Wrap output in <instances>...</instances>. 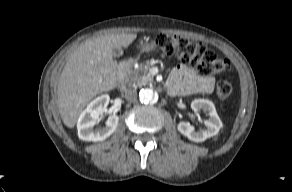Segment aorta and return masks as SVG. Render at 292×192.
Wrapping results in <instances>:
<instances>
[{
    "label": "aorta",
    "instance_id": "762f6f07",
    "mask_svg": "<svg viewBox=\"0 0 292 192\" xmlns=\"http://www.w3.org/2000/svg\"><path fill=\"white\" fill-rule=\"evenodd\" d=\"M139 98L145 104H154L158 101V93L152 88H143L140 90Z\"/></svg>",
    "mask_w": 292,
    "mask_h": 192
}]
</instances>
